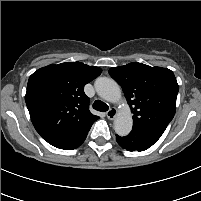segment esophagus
Wrapping results in <instances>:
<instances>
[{"label":"esophagus","mask_w":201,"mask_h":201,"mask_svg":"<svg viewBox=\"0 0 201 201\" xmlns=\"http://www.w3.org/2000/svg\"><path fill=\"white\" fill-rule=\"evenodd\" d=\"M116 115H117V109L115 107L110 108L106 113L107 118L110 120L115 119Z\"/></svg>","instance_id":"obj_1"}]
</instances>
